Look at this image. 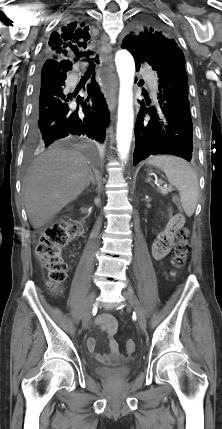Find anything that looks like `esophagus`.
<instances>
[{"label": "esophagus", "instance_id": "34e87169", "mask_svg": "<svg viewBox=\"0 0 222 429\" xmlns=\"http://www.w3.org/2000/svg\"><path fill=\"white\" fill-rule=\"evenodd\" d=\"M102 43V60L106 70V77L108 82L107 91V105L109 111L112 113L116 106V93H117V74L112 60V45L108 36L103 33L101 36Z\"/></svg>", "mask_w": 222, "mask_h": 429}]
</instances>
